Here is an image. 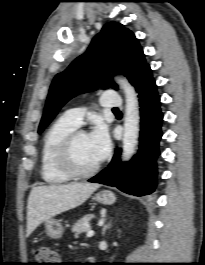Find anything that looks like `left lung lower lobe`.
Returning a JSON list of instances; mask_svg holds the SVG:
<instances>
[{"label":"left lung lower lobe","instance_id":"1","mask_svg":"<svg viewBox=\"0 0 205 265\" xmlns=\"http://www.w3.org/2000/svg\"><path fill=\"white\" fill-rule=\"evenodd\" d=\"M139 92L141 111L140 146L137 155L128 165L123 166L119 160L121 150H117L109 166L89 182L117 187L121 191L144 196L154 192L156 187L159 155L158 144L161 139L160 97L150 67L146 68L135 85Z\"/></svg>","mask_w":205,"mask_h":265}]
</instances>
